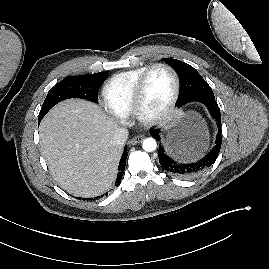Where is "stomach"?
Instances as JSON below:
<instances>
[{
    "label": "stomach",
    "instance_id": "1",
    "mask_svg": "<svg viewBox=\"0 0 269 269\" xmlns=\"http://www.w3.org/2000/svg\"><path fill=\"white\" fill-rule=\"evenodd\" d=\"M207 137L205 123L198 113L179 112L168 126L166 143L171 152L191 160L201 154Z\"/></svg>",
    "mask_w": 269,
    "mask_h": 269
}]
</instances>
